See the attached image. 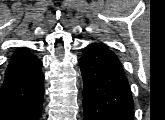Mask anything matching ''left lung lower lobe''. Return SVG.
<instances>
[{
  "label": "left lung lower lobe",
  "mask_w": 165,
  "mask_h": 120,
  "mask_svg": "<svg viewBox=\"0 0 165 120\" xmlns=\"http://www.w3.org/2000/svg\"><path fill=\"white\" fill-rule=\"evenodd\" d=\"M79 64L84 120H134L131 89L115 53L102 43H92Z\"/></svg>",
  "instance_id": "obj_1"
}]
</instances>
